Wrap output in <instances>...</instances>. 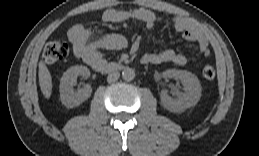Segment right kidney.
<instances>
[{
	"label": "right kidney",
	"mask_w": 259,
	"mask_h": 156,
	"mask_svg": "<svg viewBox=\"0 0 259 156\" xmlns=\"http://www.w3.org/2000/svg\"><path fill=\"white\" fill-rule=\"evenodd\" d=\"M78 76L88 78L90 76L89 69L82 65L72 66L64 72L60 79V99L62 104L68 108L81 105L92 93V88L88 84L77 91L74 90L73 87Z\"/></svg>",
	"instance_id": "obj_1"
}]
</instances>
